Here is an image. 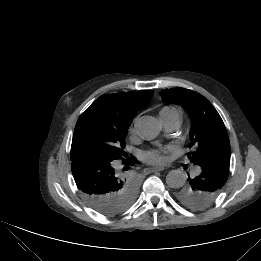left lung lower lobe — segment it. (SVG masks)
Returning <instances> with one entry per match:
<instances>
[{
  "instance_id": "obj_1",
  "label": "left lung lower lobe",
  "mask_w": 261,
  "mask_h": 261,
  "mask_svg": "<svg viewBox=\"0 0 261 261\" xmlns=\"http://www.w3.org/2000/svg\"><path fill=\"white\" fill-rule=\"evenodd\" d=\"M229 175V162L209 160L200 165V173L188 178L192 189L203 192L206 196H216L222 190Z\"/></svg>"
}]
</instances>
